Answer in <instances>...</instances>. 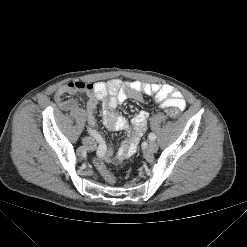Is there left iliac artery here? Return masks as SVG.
Wrapping results in <instances>:
<instances>
[{
	"label": "left iliac artery",
	"instance_id": "44dca946",
	"mask_svg": "<svg viewBox=\"0 0 247 247\" xmlns=\"http://www.w3.org/2000/svg\"><path fill=\"white\" fill-rule=\"evenodd\" d=\"M148 137L150 140H155L156 139V135L154 133H149Z\"/></svg>",
	"mask_w": 247,
	"mask_h": 247
}]
</instances>
